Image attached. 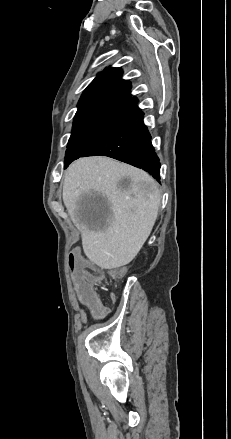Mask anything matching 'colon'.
<instances>
[{"mask_svg": "<svg viewBox=\"0 0 231 439\" xmlns=\"http://www.w3.org/2000/svg\"><path fill=\"white\" fill-rule=\"evenodd\" d=\"M70 256V267L74 270V281L73 286L77 289V294L79 300L84 307L91 306L94 310L92 317L95 320H106L107 312L106 307L103 304L102 297L97 296L95 291V285L97 282L96 276L91 270V260L86 259L83 255L84 251L81 246L77 248H72L69 251ZM123 274V270H116L112 272V277H120Z\"/></svg>", "mask_w": 231, "mask_h": 439, "instance_id": "5ec220e1", "label": "colon"}]
</instances>
